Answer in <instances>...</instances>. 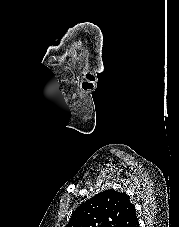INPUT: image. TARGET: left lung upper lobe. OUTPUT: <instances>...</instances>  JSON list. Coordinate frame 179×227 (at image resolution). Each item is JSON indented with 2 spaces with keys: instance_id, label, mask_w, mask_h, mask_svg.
<instances>
[{
  "instance_id": "1",
  "label": "left lung upper lobe",
  "mask_w": 179,
  "mask_h": 227,
  "mask_svg": "<svg viewBox=\"0 0 179 227\" xmlns=\"http://www.w3.org/2000/svg\"><path fill=\"white\" fill-rule=\"evenodd\" d=\"M134 205L125 193L105 190L82 203L66 227H137Z\"/></svg>"
}]
</instances>
